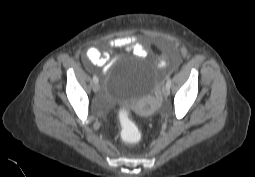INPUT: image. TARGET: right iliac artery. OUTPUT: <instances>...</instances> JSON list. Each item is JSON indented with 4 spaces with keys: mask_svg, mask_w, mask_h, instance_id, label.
<instances>
[{
    "mask_svg": "<svg viewBox=\"0 0 255 177\" xmlns=\"http://www.w3.org/2000/svg\"><path fill=\"white\" fill-rule=\"evenodd\" d=\"M93 81H94V83H98V78H97V76H93Z\"/></svg>",
    "mask_w": 255,
    "mask_h": 177,
    "instance_id": "obj_1",
    "label": "right iliac artery"
}]
</instances>
